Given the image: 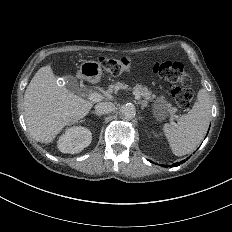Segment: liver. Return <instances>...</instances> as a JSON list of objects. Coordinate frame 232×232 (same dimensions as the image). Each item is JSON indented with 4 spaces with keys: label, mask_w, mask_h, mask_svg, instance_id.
<instances>
[{
    "label": "liver",
    "mask_w": 232,
    "mask_h": 232,
    "mask_svg": "<svg viewBox=\"0 0 232 232\" xmlns=\"http://www.w3.org/2000/svg\"><path fill=\"white\" fill-rule=\"evenodd\" d=\"M93 103L58 85L51 66L41 67L24 94L25 121L31 136L50 143L61 130L88 114Z\"/></svg>",
    "instance_id": "liver-1"
}]
</instances>
